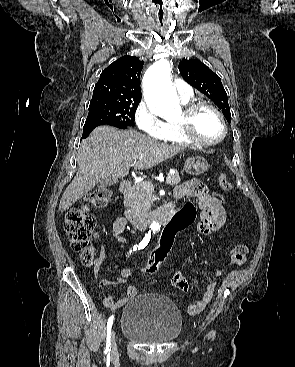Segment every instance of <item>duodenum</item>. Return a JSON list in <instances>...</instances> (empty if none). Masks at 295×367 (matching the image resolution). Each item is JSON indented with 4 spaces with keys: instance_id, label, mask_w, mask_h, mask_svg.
<instances>
[{
    "instance_id": "410a0bca",
    "label": "duodenum",
    "mask_w": 295,
    "mask_h": 367,
    "mask_svg": "<svg viewBox=\"0 0 295 367\" xmlns=\"http://www.w3.org/2000/svg\"><path fill=\"white\" fill-rule=\"evenodd\" d=\"M132 190V182L130 180H124L120 184V192L123 195H128ZM177 214V208L174 203L165 205L157 212L150 214H141L134 212L130 209L125 210V217L131 224L139 229H145L153 223L166 224L168 219H173Z\"/></svg>"
}]
</instances>
